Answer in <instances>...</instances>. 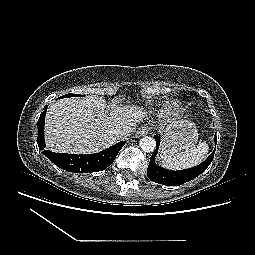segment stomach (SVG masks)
Segmentation results:
<instances>
[{
    "instance_id": "obj_1",
    "label": "stomach",
    "mask_w": 255,
    "mask_h": 255,
    "mask_svg": "<svg viewBox=\"0 0 255 255\" xmlns=\"http://www.w3.org/2000/svg\"><path fill=\"white\" fill-rule=\"evenodd\" d=\"M198 141L196 125L187 119L170 122L163 135L161 155L176 154L193 148Z\"/></svg>"
}]
</instances>
